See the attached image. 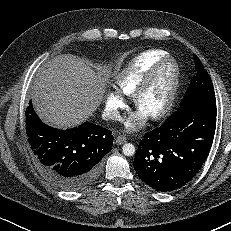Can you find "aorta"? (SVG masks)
I'll return each instance as SVG.
<instances>
[{
  "label": "aorta",
  "mask_w": 231,
  "mask_h": 231,
  "mask_svg": "<svg viewBox=\"0 0 231 231\" xmlns=\"http://www.w3.org/2000/svg\"><path fill=\"white\" fill-rule=\"evenodd\" d=\"M122 152L125 156H132L135 153V147L131 143H126L122 147Z\"/></svg>",
  "instance_id": "762f6f07"
}]
</instances>
